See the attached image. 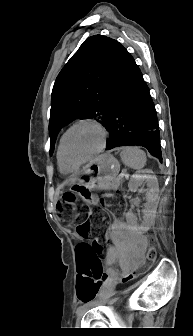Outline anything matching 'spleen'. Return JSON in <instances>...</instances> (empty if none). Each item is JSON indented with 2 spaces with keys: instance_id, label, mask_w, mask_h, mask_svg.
<instances>
[{
  "instance_id": "1",
  "label": "spleen",
  "mask_w": 193,
  "mask_h": 336,
  "mask_svg": "<svg viewBox=\"0 0 193 336\" xmlns=\"http://www.w3.org/2000/svg\"><path fill=\"white\" fill-rule=\"evenodd\" d=\"M120 157L125 165L135 170L142 169L146 164V154L138 147H123Z\"/></svg>"
}]
</instances>
